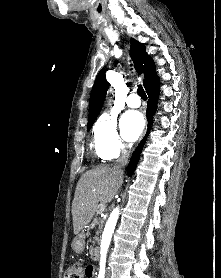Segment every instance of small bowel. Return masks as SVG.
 Wrapping results in <instances>:
<instances>
[{"instance_id": "obj_1", "label": "small bowel", "mask_w": 221, "mask_h": 278, "mask_svg": "<svg viewBox=\"0 0 221 278\" xmlns=\"http://www.w3.org/2000/svg\"><path fill=\"white\" fill-rule=\"evenodd\" d=\"M94 274H95V268L92 265H90V271L86 275V278H93Z\"/></svg>"}]
</instances>
